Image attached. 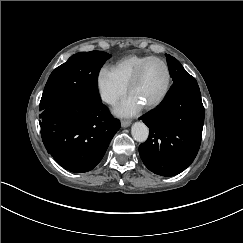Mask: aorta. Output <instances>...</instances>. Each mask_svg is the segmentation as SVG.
I'll use <instances>...</instances> for the list:
<instances>
[{
    "mask_svg": "<svg viewBox=\"0 0 243 243\" xmlns=\"http://www.w3.org/2000/svg\"><path fill=\"white\" fill-rule=\"evenodd\" d=\"M131 134L136 142L144 143L149 137V128L144 123H135L132 127Z\"/></svg>",
    "mask_w": 243,
    "mask_h": 243,
    "instance_id": "aorta-1",
    "label": "aorta"
}]
</instances>
